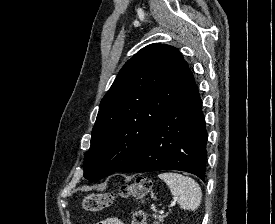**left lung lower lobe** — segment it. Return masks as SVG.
<instances>
[{"label":"left lung lower lobe","instance_id":"obj_1","mask_svg":"<svg viewBox=\"0 0 275 224\" xmlns=\"http://www.w3.org/2000/svg\"><path fill=\"white\" fill-rule=\"evenodd\" d=\"M207 131L195 81L145 140L128 171L180 170L205 181Z\"/></svg>","mask_w":275,"mask_h":224}]
</instances>
